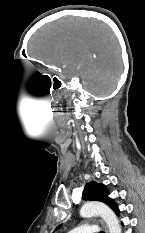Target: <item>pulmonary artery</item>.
<instances>
[{"label":"pulmonary artery","mask_w":145,"mask_h":233,"mask_svg":"<svg viewBox=\"0 0 145 233\" xmlns=\"http://www.w3.org/2000/svg\"><path fill=\"white\" fill-rule=\"evenodd\" d=\"M99 228L96 225L86 224L70 230L68 233H97Z\"/></svg>","instance_id":"obj_1"}]
</instances>
